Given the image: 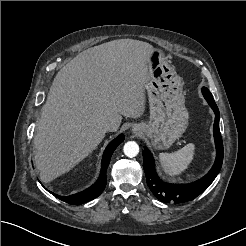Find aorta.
I'll return each instance as SVG.
<instances>
[{
	"label": "aorta",
	"instance_id": "762f6f07",
	"mask_svg": "<svg viewBox=\"0 0 246 246\" xmlns=\"http://www.w3.org/2000/svg\"><path fill=\"white\" fill-rule=\"evenodd\" d=\"M124 154L127 157H135L139 153V146L135 141H128L123 147Z\"/></svg>",
	"mask_w": 246,
	"mask_h": 246
}]
</instances>
